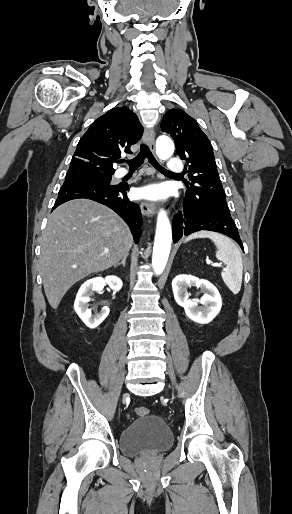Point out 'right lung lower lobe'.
Instances as JSON below:
<instances>
[{
    "label": "right lung lower lobe",
    "instance_id": "obj_1",
    "mask_svg": "<svg viewBox=\"0 0 292 514\" xmlns=\"http://www.w3.org/2000/svg\"><path fill=\"white\" fill-rule=\"evenodd\" d=\"M128 184L112 185L89 180H65L53 209L72 199L86 198L114 210L128 224L137 243L142 223L138 204L127 197ZM52 209V210H53Z\"/></svg>",
    "mask_w": 292,
    "mask_h": 514
}]
</instances>
